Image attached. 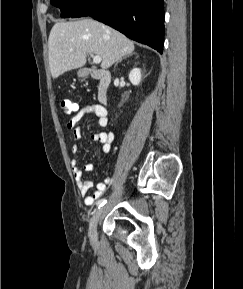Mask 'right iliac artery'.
<instances>
[{
	"instance_id": "1",
	"label": "right iliac artery",
	"mask_w": 243,
	"mask_h": 289,
	"mask_svg": "<svg viewBox=\"0 0 243 289\" xmlns=\"http://www.w3.org/2000/svg\"><path fill=\"white\" fill-rule=\"evenodd\" d=\"M106 202H107L106 199H101V200H99V201L96 203V205H97L98 208H100V207H102Z\"/></svg>"
}]
</instances>
